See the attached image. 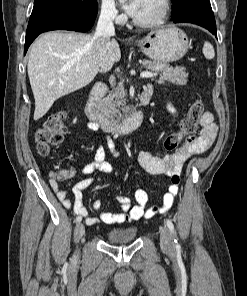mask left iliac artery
I'll return each instance as SVG.
<instances>
[{"mask_svg": "<svg viewBox=\"0 0 247 296\" xmlns=\"http://www.w3.org/2000/svg\"><path fill=\"white\" fill-rule=\"evenodd\" d=\"M166 224H167L169 230L174 234V233H175V229H174V225H173L172 221L169 220V219H167V220H166ZM174 242L176 243V246H178L177 241L174 240Z\"/></svg>", "mask_w": 247, "mask_h": 296, "instance_id": "obj_1", "label": "left iliac artery"}]
</instances>
